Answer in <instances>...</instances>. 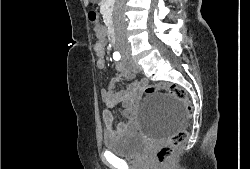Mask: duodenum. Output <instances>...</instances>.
Wrapping results in <instances>:
<instances>
[{
	"instance_id": "410a0bca",
	"label": "duodenum",
	"mask_w": 250,
	"mask_h": 169,
	"mask_svg": "<svg viewBox=\"0 0 250 169\" xmlns=\"http://www.w3.org/2000/svg\"><path fill=\"white\" fill-rule=\"evenodd\" d=\"M109 41L114 45L116 44V35H115L114 31H110V33H109Z\"/></svg>"
}]
</instances>
